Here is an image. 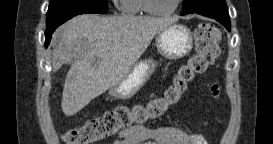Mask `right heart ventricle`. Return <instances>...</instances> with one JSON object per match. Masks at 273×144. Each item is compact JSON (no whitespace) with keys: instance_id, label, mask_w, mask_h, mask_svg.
Segmentation results:
<instances>
[{"instance_id":"obj_1","label":"right heart ventricle","mask_w":273,"mask_h":144,"mask_svg":"<svg viewBox=\"0 0 273 144\" xmlns=\"http://www.w3.org/2000/svg\"><path fill=\"white\" fill-rule=\"evenodd\" d=\"M143 0H122L121 9L124 15L134 16L142 12Z\"/></svg>"}]
</instances>
